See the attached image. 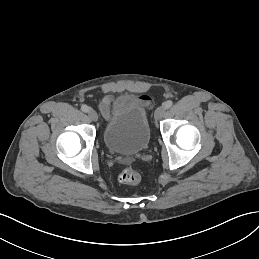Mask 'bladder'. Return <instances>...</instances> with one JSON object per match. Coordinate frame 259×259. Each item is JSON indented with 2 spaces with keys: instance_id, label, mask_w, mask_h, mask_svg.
<instances>
[{
  "instance_id": "1",
  "label": "bladder",
  "mask_w": 259,
  "mask_h": 259,
  "mask_svg": "<svg viewBox=\"0 0 259 259\" xmlns=\"http://www.w3.org/2000/svg\"><path fill=\"white\" fill-rule=\"evenodd\" d=\"M150 136L145 108L128 98L117 101L103 133L107 149L116 154L135 155L147 149Z\"/></svg>"
}]
</instances>
